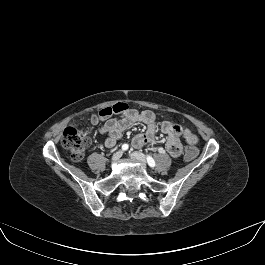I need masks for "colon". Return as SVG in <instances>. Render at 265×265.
Segmentation results:
<instances>
[{
    "instance_id": "5ec220e1",
    "label": "colon",
    "mask_w": 265,
    "mask_h": 265,
    "mask_svg": "<svg viewBox=\"0 0 265 265\" xmlns=\"http://www.w3.org/2000/svg\"><path fill=\"white\" fill-rule=\"evenodd\" d=\"M129 105L126 103H117L113 106L105 107L99 110L96 116H94L93 121H104L108 120L110 117L116 114H124L129 110ZM94 138V132L91 128H80L78 126H70L65 129L62 146L64 150L69 154V156L75 160L79 161L84 157L87 148L92 143ZM198 155V150L194 146H189L186 148L184 153V158L187 161L195 159Z\"/></svg>"
}]
</instances>
